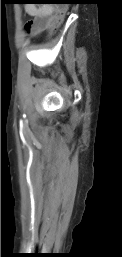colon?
Here are the masks:
<instances>
[{
	"instance_id": "5ec220e1",
	"label": "colon",
	"mask_w": 122,
	"mask_h": 257,
	"mask_svg": "<svg viewBox=\"0 0 122 257\" xmlns=\"http://www.w3.org/2000/svg\"><path fill=\"white\" fill-rule=\"evenodd\" d=\"M72 6V2H57V15H55V21H51V26H49L48 38H51V35H56L57 31L61 30V24L65 22V13H69V7Z\"/></svg>"
}]
</instances>
